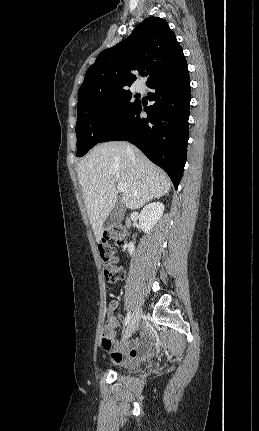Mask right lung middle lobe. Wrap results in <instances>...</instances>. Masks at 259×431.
<instances>
[{
  "label": "right lung middle lobe",
  "instance_id": "obj_1",
  "mask_svg": "<svg viewBox=\"0 0 259 431\" xmlns=\"http://www.w3.org/2000/svg\"><path fill=\"white\" fill-rule=\"evenodd\" d=\"M139 103L127 89L86 97L77 109V157L85 155Z\"/></svg>",
  "mask_w": 259,
  "mask_h": 431
}]
</instances>
